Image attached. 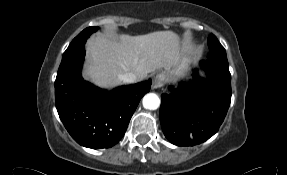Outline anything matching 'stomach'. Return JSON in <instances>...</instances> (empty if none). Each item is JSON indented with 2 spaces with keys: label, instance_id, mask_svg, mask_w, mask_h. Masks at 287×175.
I'll list each match as a JSON object with an SVG mask.
<instances>
[{
  "label": "stomach",
  "instance_id": "0dacf381",
  "mask_svg": "<svg viewBox=\"0 0 287 175\" xmlns=\"http://www.w3.org/2000/svg\"><path fill=\"white\" fill-rule=\"evenodd\" d=\"M190 59L188 57H182L180 60L171 68L165 69L162 75L167 81L174 80L179 77L185 76L188 70V64Z\"/></svg>",
  "mask_w": 287,
  "mask_h": 175
}]
</instances>
